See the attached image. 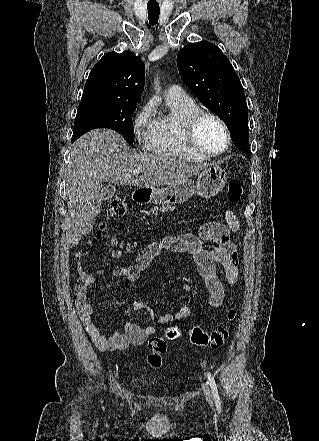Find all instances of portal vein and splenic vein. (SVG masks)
<instances>
[{"mask_svg": "<svg viewBox=\"0 0 319 441\" xmlns=\"http://www.w3.org/2000/svg\"><path fill=\"white\" fill-rule=\"evenodd\" d=\"M141 170L140 169H134L131 173L133 174H140Z\"/></svg>", "mask_w": 319, "mask_h": 441, "instance_id": "portal-vein-and-splenic-vein-1", "label": "portal vein and splenic vein"}]
</instances>
